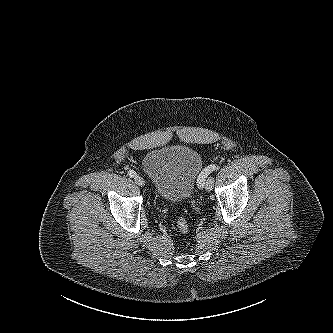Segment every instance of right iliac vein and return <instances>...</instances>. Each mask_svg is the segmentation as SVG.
I'll return each mask as SVG.
<instances>
[{
	"label": "right iliac vein",
	"instance_id": "1",
	"mask_svg": "<svg viewBox=\"0 0 333 333\" xmlns=\"http://www.w3.org/2000/svg\"><path fill=\"white\" fill-rule=\"evenodd\" d=\"M134 181H135V183H136L138 186L143 187V186L145 185V181H144V179H143L141 176H139V175H136V176L134 177Z\"/></svg>",
	"mask_w": 333,
	"mask_h": 333
}]
</instances>
